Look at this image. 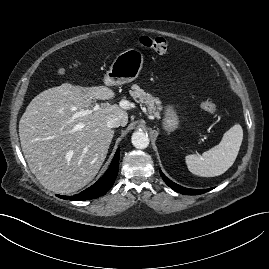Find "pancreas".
<instances>
[{"label":"pancreas","mask_w":269,"mask_h":269,"mask_svg":"<svg viewBox=\"0 0 269 269\" xmlns=\"http://www.w3.org/2000/svg\"><path fill=\"white\" fill-rule=\"evenodd\" d=\"M130 95L136 102L144 103L150 114L156 117L160 116L161 101L157 97H153L151 94L146 93L138 85H133L132 90H130Z\"/></svg>","instance_id":"cf45deb5"}]
</instances>
